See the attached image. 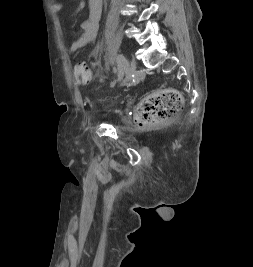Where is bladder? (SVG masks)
I'll return each instance as SVG.
<instances>
[{
    "instance_id": "bladder-1",
    "label": "bladder",
    "mask_w": 253,
    "mask_h": 267,
    "mask_svg": "<svg viewBox=\"0 0 253 267\" xmlns=\"http://www.w3.org/2000/svg\"><path fill=\"white\" fill-rule=\"evenodd\" d=\"M97 102H98L99 107H100L101 110H103V111H107V110H109L110 107H111V102H110V100H109L107 97H105V96H100V97H98Z\"/></svg>"
}]
</instances>
